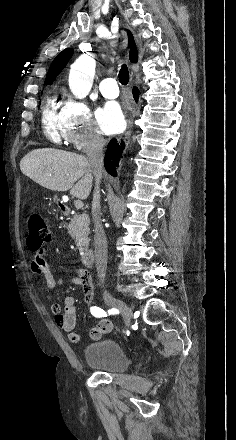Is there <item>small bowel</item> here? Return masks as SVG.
<instances>
[{"label":"small bowel","instance_id":"c3829d8e","mask_svg":"<svg viewBox=\"0 0 236 440\" xmlns=\"http://www.w3.org/2000/svg\"><path fill=\"white\" fill-rule=\"evenodd\" d=\"M45 250H35L31 261V271L35 275L43 276L46 287L49 290L55 289L58 285L63 283V278L55 277L51 272L49 265L45 260ZM73 282L80 285L84 293V301L87 306L91 305L94 299V285L90 274L82 268L76 270ZM51 313L54 317L55 324L64 332L67 333L68 339L77 343L80 339L79 334L75 330L77 315L75 301L72 296H66L63 300V306L58 303H53L50 307ZM113 328V323L109 319L101 320L94 327L90 328V337L97 340L103 333H110Z\"/></svg>","mask_w":236,"mask_h":440}]
</instances>
